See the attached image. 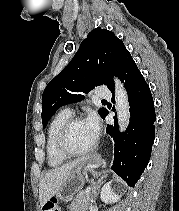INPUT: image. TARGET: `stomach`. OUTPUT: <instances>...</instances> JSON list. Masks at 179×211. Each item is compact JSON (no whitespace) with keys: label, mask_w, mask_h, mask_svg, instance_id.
Listing matches in <instances>:
<instances>
[{"label":"stomach","mask_w":179,"mask_h":211,"mask_svg":"<svg viewBox=\"0 0 179 211\" xmlns=\"http://www.w3.org/2000/svg\"><path fill=\"white\" fill-rule=\"evenodd\" d=\"M82 168L83 166L78 167L70 173L67 180L53 198H56L57 200H69L83 189L86 177L82 172Z\"/></svg>","instance_id":"obj_1"}]
</instances>
